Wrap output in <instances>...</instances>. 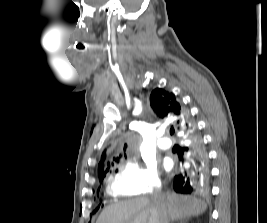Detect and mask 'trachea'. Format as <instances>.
Masks as SVG:
<instances>
[{
	"label": "trachea",
	"instance_id": "trachea-1",
	"mask_svg": "<svg viewBox=\"0 0 267 223\" xmlns=\"http://www.w3.org/2000/svg\"><path fill=\"white\" fill-rule=\"evenodd\" d=\"M170 134H171V135L174 134V130H173V129L170 130Z\"/></svg>",
	"mask_w": 267,
	"mask_h": 223
}]
</instances>
